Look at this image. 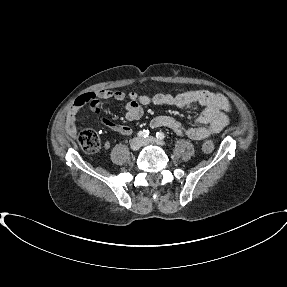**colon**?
<instances>
[{
  "label": "colon",
  "mask_w": 287,
  "mask_h": 287,
  "mask_svg": "<svg viewBox=\"0 0 287 287\" xmlns=\"http://www.w3.org/2000/svg\"><path fill=\"white\" fill-rule=\"evenodd\" d=\"M78 142L81 148L89 153H93L99 150L101 141L98 134L91 130H86L80 133ZM215 142L212 139L206 140L203 145V151L210 153L214 150Z\"/></svg>",
  "instance_id": "1"
}]
</instances>
